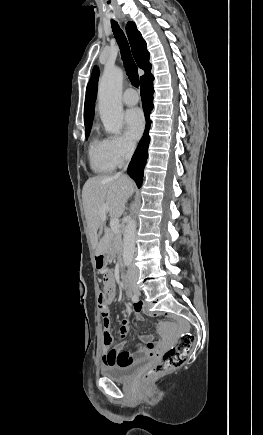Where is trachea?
Masks as SVG:
<instances>
[{
  "instance_id": "3493384b",
  "label": "trachea",
  "mask_w": 263,
  "mask_h": 435,
  "mask_svg": "<svg viewBox=\"0 0 263 435\" xmlns=\"http://www.w3.org/2000/svg\"><path fill=\"white\" fill-rule=\"evenodd\" d=\"M111 25H112V31L114 33V37L120 48L121 58L123 60V64L127 76L134 87H139V75H138L137 66L131 55L130 47L125 37V34L120 29L117 22L112 20Z\"/></svg>"
}]
</instances>
